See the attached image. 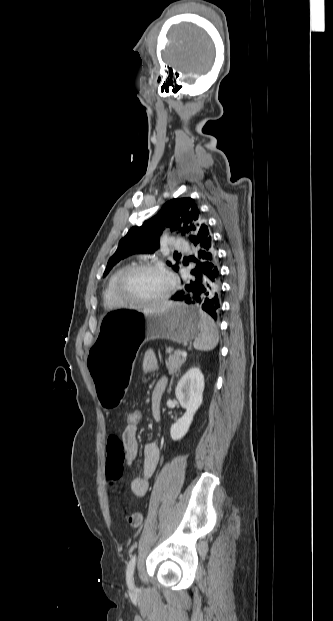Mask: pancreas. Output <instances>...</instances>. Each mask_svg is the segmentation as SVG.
Returning <instances> with one entry per match:
<instances>
[{
	"label": "pancreas",
	"mask_w": 333,
	"mask_h": 621,
	"mask_svg": "<svg viewBox=\"0 0 333 621\" xmlns=\"http://www.w3.org/2000/svg\"><path fill=\"white\" fill-rule=\"evenodd\" d=\"M167 352L169 354V357L166 360V366H167L168 372L170 374H174L180 370L182 364L185 362V358L181 357V353H182L181 350H176L172 352V350L168 348Z\"/></svg>",
	"instance_id": "cf45deb5"
}]
</instances>
